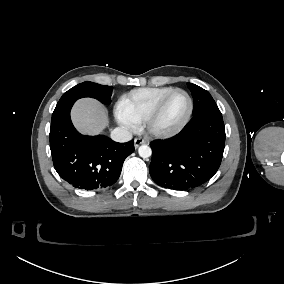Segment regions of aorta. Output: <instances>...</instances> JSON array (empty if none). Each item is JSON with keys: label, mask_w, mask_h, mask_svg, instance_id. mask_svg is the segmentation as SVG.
<instances>
[{"label": "aorta", "mask_w": 284, "mask_h": 284, "mask_svg": "<svg viewBox=\"0 0 284 284\" xmlns=\"http://www.w3.org/2000/svg\"><path fill=\"white\" fill-rule=\"evenodd\" d=\"M139 156L142 158H148L152 154V150L147 145H141L138 149Z\"/></svg>", "instance_id": "aorta-1"}]
</instances>
